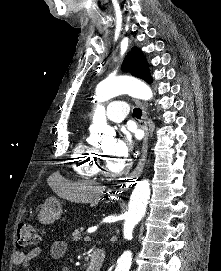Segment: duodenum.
<instances>
[{"instance_id": "duodenum-1", "label": "duodenum", "mask_w": 221, "mask_h": 271, "mask_svg": "<svg viewBox=\"0 0 221 271\" xmlns=\"http://www.w3.org/2000/svg\"><path fill=\"white\" fill-rule=\"evenodd\" d=\"M105 261V252L96 249L92 252L89 264L85 271H100Z\"/></svg>"}]
</instances>
